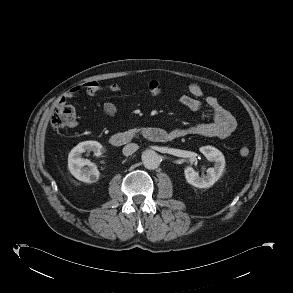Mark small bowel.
I'll return each mask as SVG.
<instances>
[{
  "label": "small bowel",
  "instance_id": "small-bowel-1",
  "mask_svg": "<svg viewBox=\"0 0 293 293\" xmlns=\"http://www.w3.org/2000/svg\"><path fill=\"white\" fill-rule=\"evenodd\" d=\"M103 90L116 93L121 90V87L117 83L102 86L97 81H89L68 90L60 102L66 103L67 99L72 98L81 92H84L89 96H94ZM148 92L153 97L160 95L162 92L161 83L156 80L151 81L148 84ZM202 97L203 91L201 87L198 84L193 83L189 86V94L182 95L179 102L183 107L195 112L201 111L204 106L207 107L212 112L213 121L210 123H197L188 127L173 129L169 132L173 136V139L189 134L226 138L234 132L237 127L235 117L227 111L215 97H205L204 104L200 100ZM103 108L105 113L110 116L115 115L117 112V107L112 102H106Z\"/></svg>",
  "mask_w": 293,
  "mask_h": 293
}]
</instances>
